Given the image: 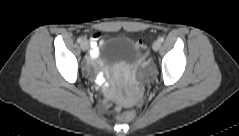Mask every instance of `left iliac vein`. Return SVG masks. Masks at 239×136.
Returning a JSON list of instances; mask_svg holds the SVG:
<instances>
[{"instance_id":"obj_1","label":"left iliac vein","mask_w":239,"mask_h":136,"mask_svg":"<svg viewBox=\"0 0 239 136\" xmlns=\"http://www.w3.org/2000/svg\"><path fill=\"white\" fill-rule=\"evenodd\" d=\"M160 47H161V42L158 41V40L155 41L152 45V48H153L154 51H158L160 49Z\"/></svg>"}]
</instances>
